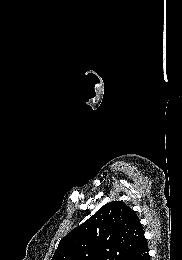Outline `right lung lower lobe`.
<instances>
[{
  "instance_id": "98d812e1",
  "label": "right lung lower lobe",
  "mask_w": 182,
  "mask_h": 260,
  "mask_svg": "<svg viewBox=\"0 0 182 260\" xmlns=\"http://www.w3.org/2000/svg\"><path fill=\"white\" fill-rule=\"evenodd\" d=\"M124 260H150V256L148 254L147 243H143L140 247H138L135 251L130 253Z\"/></svg>"
}]
</instances>
